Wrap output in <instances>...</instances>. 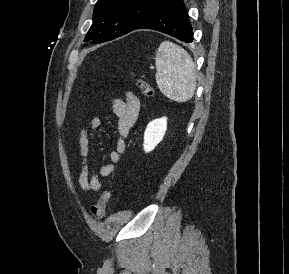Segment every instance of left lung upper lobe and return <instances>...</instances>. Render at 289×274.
Segmentation results:
<instances>
[{
    "mask_svg": "<svg viewBox=\"0 0 289 274\" xmlns=\"http://www.w3.org/2000/svg\"><path fill=\"white\" fill-rule=\"evenodd\" d=\"M167 0H98L84 41L102 43L133 31Z\"/></svg>",
    "mask_w": 289,
    "mask_h": 274,
    "instance_id": "obj_1",
    "label": "left lung upper lobe"
}]
</instances>
